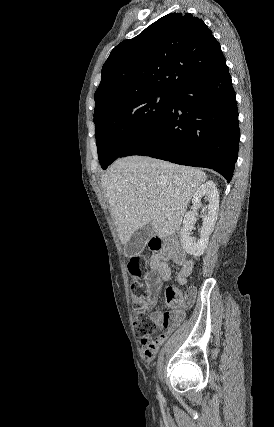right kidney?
Segmentation results:
<instances>
[{"label": "right kidney", "instance_id": "obj_1", "mask_svg": "<svg viewBox=\"0 0 274 427\" xmlns=\"http://www.w3.org/2000/svg\"><path fill=\"white\" fill-rule=\"evenodd\" d=\"M201 198H206L209 204L206 206L207 212L203 217V225L200 231L199 239L192 237V229L196 221L195 212H187L183 219V229L181 233V243L185 251L194 257L203 255L209 241V235L214 229L219 210V194L214 182H205L197 188L193 198L192 204L194 208L202 206ZM206 208H203L205 212Z\"/></svg>", "mask_w": 274, "mask_h": 427}]
</instances>
